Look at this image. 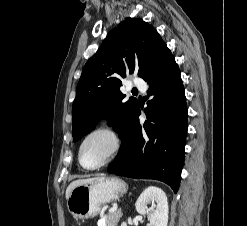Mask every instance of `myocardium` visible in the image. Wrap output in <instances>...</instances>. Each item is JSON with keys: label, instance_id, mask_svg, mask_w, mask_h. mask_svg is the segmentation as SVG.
<instances>
[{"label": "myocardium", "instance_id": "f54148a6", "mask_svg": "<svg viewBox=\"0 0 247 226\" xmlns=\"http://www.w3.org/2000/svg\"><path fill=\"white\" fill-rule=\"evenodd\" d=\"M96 134H105V135L109 136L112 140V148H111L108 156L102 162H100L99 164L94 165V166H86L82 160L83 147H84L86 141ZM121 146H122L121 137H120L118 131L114 127H112L110 125L98 126L94 129L90 130L88 133H86L84 135V137L82 138L80 145H79V148H78V161L84 169H87V170L100 169V168L108 165L110 162H112L117 157V155L119 154V152L121 150Z\"/></svg>", "mask_w": 247, "mask_h": 226}]
</instances>
